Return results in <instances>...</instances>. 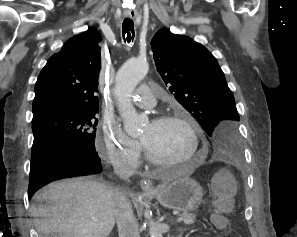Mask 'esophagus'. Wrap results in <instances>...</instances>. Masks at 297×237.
<instances>
[{
    "label": "esophagus",
    "mask_w": 297,
    "mask_h": 237,
    "mask_svg": "<svg viewBox=\"0 0 297 237\" xmlns=\"http://www.w3.org/2000/svg\"><path fill=\"white\" fill-rule=\"evenodd\" d=\"M135 16H136L135 13L134 14H132V13L128 14V17H130L131 19H134ZM140 186L145 191H154L155 190L153 182L148 178L142 179L140 181Z\"/></svg>",
    "instance_id": "34e87169"
}]
</instances>
